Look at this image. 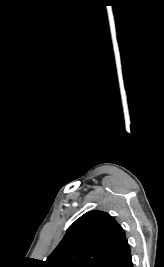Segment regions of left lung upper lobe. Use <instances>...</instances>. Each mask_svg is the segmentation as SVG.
Here are the masks:
<instances>
[{
  "label": "left lung upper lobe",
  "mask_w": 164,
  "mask_h": 267,
  "mask_svg": "<svg viewBox=\"0 0 164 267\" xmlns=\"http://www.w3.org/2000/svg\"><path fill=\"white\" fill-rule=\"evenodd\" d=\"M125 238L108 213L94 210L78 218L44 262L45 267H103Z\"/></svg>",
  "instance_id": "left-lung-upper-lobe-1"
}]
</instances>
